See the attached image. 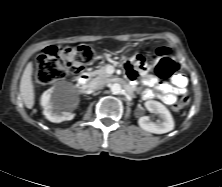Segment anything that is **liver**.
<instances>
[{
    "instance_id": "6515ba94",
    "label": "liver",
    "mask_w": 222,
    "mask_h": 187,
    "mask_svg": "<svg viewBox=\"0 0 222 187\" xmlns=\"http://www.w3.org/2000/svg\"><path fill=\"white\" fill-rule=\"evenodd\" d=\"M32 72H33V64L32 62H29L23 72V75L20 81V95L25 106L28 109H31L34 106V102H35Z\"/></svg>"
}]
</instances>
